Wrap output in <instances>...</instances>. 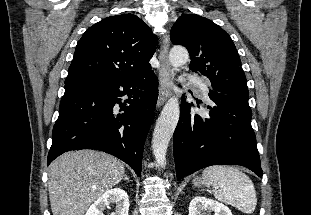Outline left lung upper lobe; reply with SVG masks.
I'll return each instance as SVG.
<instances>
[{
    "instance_id": "5c2ea615",
    "label": "left lung upper lobe",
    "mask_w": 311,
    "mask_h": 215,
    "mask_svg": "<svg viewBox=\"0 0 311 215\" xmlns=\"http://www.w3.org/2000/svg\"><path fill=\"white\" fill-rule=\"evenodd\" d=\"M170 39L188 49L190 69L209 78L214 91L249 99L237 49L220 26L196 14L182 15L171 28Z\"/></svg>"
}]
</instances>
